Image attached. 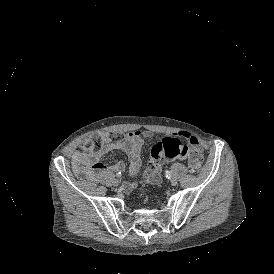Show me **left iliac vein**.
<instances>
[{"mask_svg": "<svg viewBox=\"0 0 274 274\" xmlns=\"http://www.w3.org/2000/svg\"><path fill=\"white\" fill-rule=\"evenodd\" d=\"M170 184H171L172 186H176V185L178 184V179H177V178H172V179L170 180Z\"/></svg>", "mask_w": 274, "mask_h": 274, "instance_id": "4c4485c4", "label": "left iliac vein"}]
</instances>
